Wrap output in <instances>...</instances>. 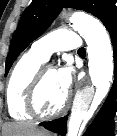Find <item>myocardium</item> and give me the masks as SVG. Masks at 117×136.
Instances as JSON below:
<instances>
[{
    "instance_id": "f54148a6",
    "label": "myocardium",
    "mask_w": 117,
    "mask_h": 136,
    "mask_svg": "<svg viewBox=\"0 0 117 136\" xmlns=\"http://www.w3.org/2000/svg\"><path fill=\"white\" fill-rule=\"evenodd\" d=\"M50 66L41 67L35 75L32 83L30 84L26 94V110L31 116L38 119L47 120L61 115L70 104V94L67 93L63 104L55 111L51 113H44L40 110L38 105V93L45 79V75Z\"/></svg>"
}]
</instances>
